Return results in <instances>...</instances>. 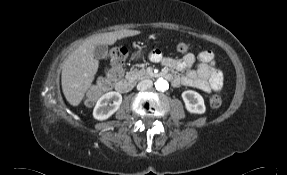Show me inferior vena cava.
Listing matches in <instances>:
<instances>
[{
    "mask_svg": "<svg viewBox=\"0 0 287 175\" xmlns=\"http://www.w3.org/2000/svg\"><path fill=\"white\" fill-rule=\"evenodd\" d=\"M153 85V82L149 79L143 80L141 81L138 85H137V89L140 91L146 90L148 88H150Z\"/></svg>",
    "mask_w": 287,
    "mask_h": 175,
    "instance_id": "1",
    "label": "inferior vena cava"
}]
</instances>
